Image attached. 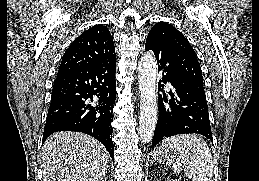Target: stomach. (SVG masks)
Returning <instances> with one entry per match:
<instances>
[{
  "instance_id": "1",
  "label": "stomach",
  "mask_w": 259,
  "mask_h": 181,
  "mask_svg": "<svg viewBox=\"0 0 259 181\" xmlns=\"http://www.w3.org/2000/svg\"><path fill=\"white\" fill-rule=\"evenodd\" d=\"M173 152H174L173 149L169 147L168 148L160 147L154 150L152 154V158L153 160H156L158 163L170 162L174 157Z\"/></svg>"
}]
</instances>
